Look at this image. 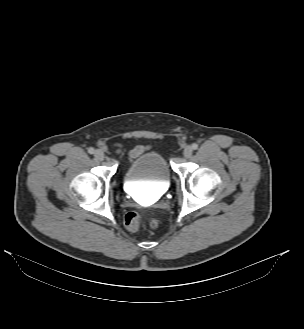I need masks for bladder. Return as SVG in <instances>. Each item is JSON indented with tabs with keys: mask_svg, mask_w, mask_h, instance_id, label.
I'll return each mask as SVG.
<instances>
[{
	"mask_svg": "<svg viewBox=\"0 0 304 329\" xmlns=\"http://www.w3.org/2000/svg\"><path fill=\"white\" fill-rule=\"evenodd\" d=\"M171 178L169 166L157 151L143 152L125 168L122 179L126 186L138 183H152L157 185H168Z\"/></svg>",
	"mask_w": 304,
	"mask_h": 329,
	"instance_id": "obj_1",
	"label": "bladder"
}]
</instances>
